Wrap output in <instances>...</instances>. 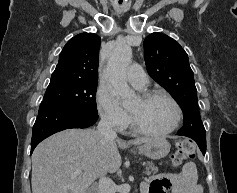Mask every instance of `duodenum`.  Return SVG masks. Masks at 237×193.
<instances>
[{
    "label": "duodenum",
    "instance_id": "1",
    "mask_svg": "<svg viewBox=\"0 0 237 193\" xmlns=\"http://www.w3.org/2000/svg\"><path fill=\"white\" fill-rule=\"evenodd\" d=\"M88 193H97L96 190H90Z\"/></svg>",
    "mask_w": 237,
    "mask_h": 193
}]
</instances>
